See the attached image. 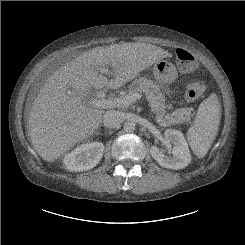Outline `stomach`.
I'll list each match as a JSON object with an SVG mask.
<instances>
[{"label": "stomach", "instance_id": "stomach-1", "mask_svg": "<svg viewBox=\"0 0 245 245\" xmlns=\"http://www.w3.org/2000/svg\"><path fill=\"white\" fill-rule=\"evenodd\" d=\"M153 75L159 84L168 85L177 78V70L172 63L166 60H160L153 66ZM166 91L170 93L169 89H166Z\"/></svg>", "mask_w": 245, "mask_h": 245}]
</instances>
